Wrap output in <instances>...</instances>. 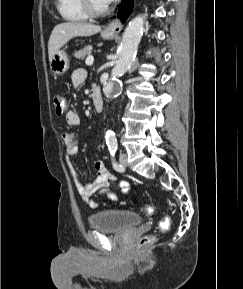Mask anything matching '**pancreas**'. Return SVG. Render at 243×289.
I'll list each match as a JSON object with an SVG mask.
<instances>
[{
    "instance_id": "1",
    "label": "pancreas",
    "mask_w": 243,
    "mask_h": 289,
    "mask_svg": "<svg viewBox=\"0 0 243 289\" xmlns=\"http://www.w3.org/2000/svg\"><path fill=\"white\" fill-rule=\"evenodd\" d=\"M92 52V46L88 45L86 47H84L83 49L75 52L74 56L77 59H84L86 56H89Z\"/></svg>"
}]
</instances>
